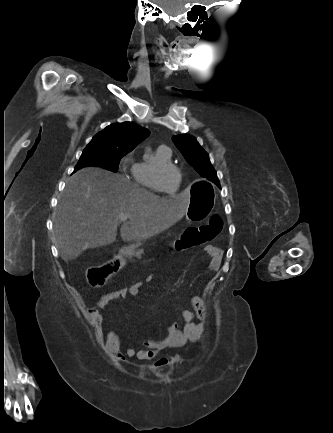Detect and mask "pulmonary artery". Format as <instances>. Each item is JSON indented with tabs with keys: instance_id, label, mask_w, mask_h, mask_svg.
<instances>
[{
	"instance_id": "e3ab8cb5",
	"label": "pulmonary artery",
	"mask_w": 333,
	"mask_h": 433,
	"mask_svg": "<svg viewBox=\"0 0 333 433\" xmlns=\"http://www.w3.org/2000/svg\"><path fill=\"white\" fill-rule=\"evenodd\" d=\"M159 149L163 150V151H165L167 153H170V148L168 146H166V145H160Z\"/></svg>"
}]
</instances>
